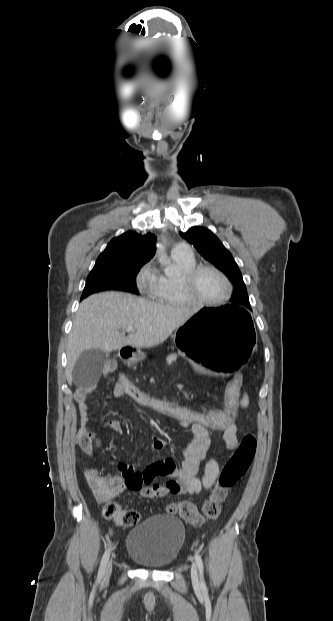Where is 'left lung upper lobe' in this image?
Returning <instances> with one entry per match:
<instances>
[{
  "mask_svg": "<svg viewBox=\"0 0 333 621\" xmlns=\"http://www.w3.org/2000/svg\"><path fill=\"white\" fill-rule=\"evenodd\" d=\"M180 235L193 244L206 260L231 278L234 286V293L230 299L231 305L241 309H251L241 272L231 253L220 240L210 230L198 226Z\"/></svg>",
  "mask_w": 333,
  "mask_h": 621,
  "instance_id": "left-lung-upper-lobe-1",
  "label": "left lung upper lobe"
}]
</instances>
